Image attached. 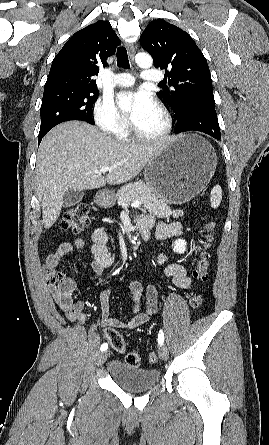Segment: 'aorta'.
<instances>
[{
	"label": "aorta",
	"mask_w": 269,
	"mask_h": 445,
	"mask_svg": "<svg viewBox=\"0 0 269 445\" xmlns=\"http://www.w3.org/2000/svg\"><path fill=\"white\" fill-rule=\"evenodd\" d=\"M135 61L138 66L142 68H150L153 64V60L149 54L139 53L135 57ZM119 106L123 110H128L130 107V99L129 98H121L119 101Z\"/></svg>",
	"instance_id": "aorta-1"
}]
</instances>
